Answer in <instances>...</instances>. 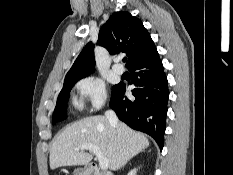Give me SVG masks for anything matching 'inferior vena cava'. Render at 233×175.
Returning <instances> with one entry per match:
<instances>
[{"instance_id": "1", "label": "inferior vena cava", "mask_w": 233, "mask_h": 175, "mask_svg": "<svg viewBox=\"0 0 233 175\" xmlns=\"http://www.w3.org/2000/svg\"><path fill=\"white\" fill-rule=\"evenodd\" d=\"M105 117L108 119L109 123L114 126V127H117L118 126V118L115 114L114 111L112 110H108L105 112Z\"/></svg>"}]
</instances>
